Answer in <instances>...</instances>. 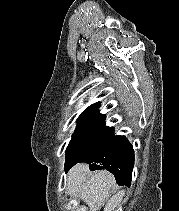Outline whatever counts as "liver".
<instances>
[{
	"label": "liver",
	"mask_w": 179,
	"mask_h": 211,
	"mask_svg": "<svg viewBox=\"0 0 179 211\" xmlns=\"http://www.w3.org/2000/svg\"><path fill=\"white\" fill-rule=\"evenodd\" d=\"M115 187L114 176L106 170L91 172L88 165L76 164L69 171L68 193L83 200L90 211H99L102 206L104 211H114L124 196V190L111 196Z\"/></svg>",
	"instance_id": "liver-1"
}]
</instances>
